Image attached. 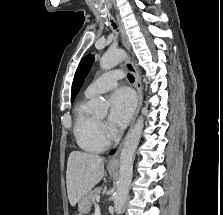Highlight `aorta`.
Returning <instances> with one entry per match:
<instances>
[{
    "mask_svg": "<svg viewBox=\"0 0 223 215\" xmlns=\"http://www.w3.org/2000/svg\"><path fill=\"white\" fill-rule=\"evenodd\" d=\"M125 52L117 48V50H108L100 60V68L102 70H110L118 66L120 62L125 60ZM92 104L96 113L99 115H106L108 104L104 98H95L92 100ZM144 125L143 117H138L136 123L131 127L129 133L125 137L123 147L120 153V175L118 179L117 189L114 195V207L115 211L122 209L128 195L129 187L131 185V179L133 175V155L136 151V147L140 141L142 129Z\"/></svg>",
    "mask_w": 223,
    "mask_h": 215,
    "instance_id": "aorta-1",
    "label": "aorta"
}]
</instances>
